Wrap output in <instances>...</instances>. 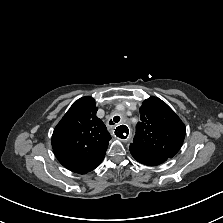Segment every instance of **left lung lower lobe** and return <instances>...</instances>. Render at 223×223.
<instances>
[{
	"label": "left lung lower lobe",
	"instance_id": "obj_1",
	"mask_svg": "<svg viewBox=\"0 0 223 223\" xmlns=\"http://www.w3.org/2000/svg\"><path fill=\"white\" fill-rule=\"evenodd\" d=\"M130 152L135 160L148 166L159 165L167 160L166 157L149 153L132 146H130Z\"/></svg>",
	"mask_w": 223,
	"mask_h": 223
}]
</instances>
